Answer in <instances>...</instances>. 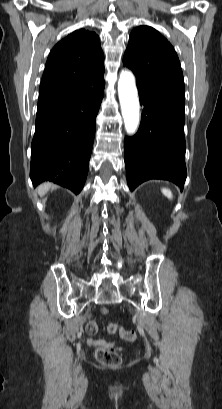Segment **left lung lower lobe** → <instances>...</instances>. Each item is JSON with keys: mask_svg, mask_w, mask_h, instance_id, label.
I'll return each instance as SVG.
<instances>
[{"mask_svg": "<svg viewBox=\"0 0 222 409\" xmlns=\"http://www.w3.org/2000/svg\"><path fill=\"white\" fill-rule=\"evenodd\" d=\"M142 121L137 134L125 138V167L130 190L149 179H164L183 187L185 165V102L172 101L138 88Z\"/></svg>", "mask_w": 222, "mask_h": 409, "instance_id": "left-lung-lower-lobe-1", "label": "left lung lower lobe"}]
</instances>
